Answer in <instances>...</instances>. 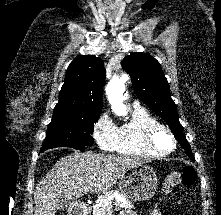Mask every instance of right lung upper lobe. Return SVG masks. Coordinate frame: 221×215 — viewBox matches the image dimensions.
<instances>
[{"mask_svg":"<svg viewBox=\"0 0 221 215\" xmlns=\"http://www.w3.org/2000/svg\"><path fill=\"white\" fill-rule=\"evenodd\" d=\"M105 68L102 59L77 56L69 65L54 113L80 111L101 113Z\"/></svg>","mask_w":221,"mask_h":215,"instance_id":"1","label":"right lung upper lobe"}]
</instances>
